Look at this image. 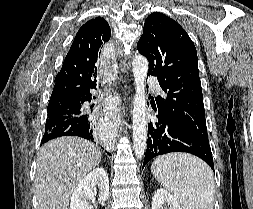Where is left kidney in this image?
<instances>
[{
  "label": "left kidney",
  "instance_id": "left-kidney-1",
  "mask_svg": "<svg viewBox=\"0 0 253 209\" xmlns=\"http://www.w3.org/2000/svg\"><path fill=\"white\" fill-rule=\"evenodd\" d=\"M164 204H168L170 209H183L167 190L160 188L153 196L152 209H163Z\"/></svg>",
  "mask_w": 253,
  "mask_h": 209
}]
</instances>
